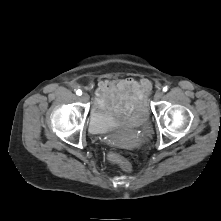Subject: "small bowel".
I'll use <instances>...</instances> for the list:
<instances>
[{"label": "small bowel", "instance_id": "obj_1", "mask_svg": "<svg viewBox=\"0 0 221 221\" xmlns=\"http://www.w3.org/2000/svg\"><path fill=\"white\" fill-rule=\"evenodd\" d=\"M151 87V82L145 78L104 79L98 84L97 104L104 110L140 112L144 109L143 101Z\"/></svg>", "mask_w": 221, "mask_h": 221}]
</instances>
